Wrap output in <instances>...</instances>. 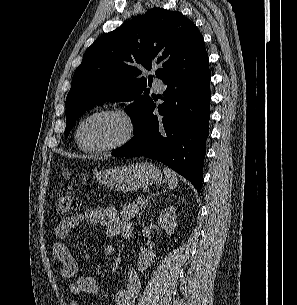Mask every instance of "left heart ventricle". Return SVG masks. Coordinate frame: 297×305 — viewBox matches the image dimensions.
Returning <instances> with one entry per match:
<instances>
[{
    "instance_id": "left-heart-ventricle-1",
    "label": "left heart ventricle",
    "mask_w": 297,
    "mask_h": 305,
    "mask_svg": "<svg viewBox=\"0 0 297 305\" xmlns=\"http://www.w3.org/2000/svg\"><path fill=\"white\" fill-rule=\"evenodd\" d=\"M124 133L120 120L112 116L91 118L81 129L82 142L86 146H102L117 141Z\"/></svg>"
}]
</instances>
